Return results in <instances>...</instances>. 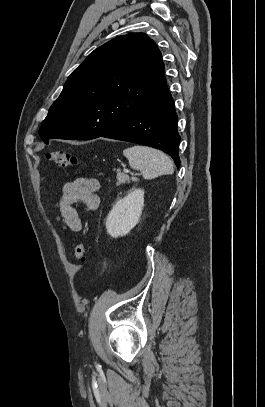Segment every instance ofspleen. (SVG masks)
Masks as SVG:
<instances>
[{"instance_id":"3e777b00","label":"spleen","mask_w":265,"mask_h":407,"mask_svg":"<svg viewBox=\"0 0 265 407\" xmlns=\"http://www.w3.org/2000/svg\"><path fill=\"white\" fill-rule=\"evenodd\" d=\"M131 168L140 170L143 178L153 179L174 172L172 160L162 151L136 145L123 150Z\"/></svg>"}]
</instances>
